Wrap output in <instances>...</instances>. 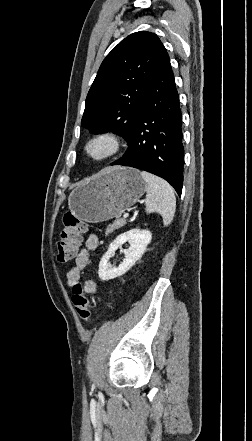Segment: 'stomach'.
Masks as SVG:
<instances>
[{
  "mask_svg": "<svg viewBox=\"0 0 252 441\" xmlns=\"http://www.w3.org/2000/svg\"><path fill=\"white\" fill-rule=\"evenodd\" d=\"M146 190L139 170L112 167L101 171L69 196V208L82 221L99 223L120 217Z\"/></svg>",
  "mask_w": 252,
  "mask_h": 441,
  "instance_id": "0dacf381",
  "label": "stomach"
}]
</instances>
